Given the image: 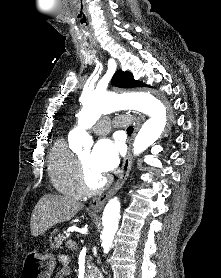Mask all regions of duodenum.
<instances>
[{"instance_id": "410a0bca", "label": "duodenum", "mask_w": 221, "mask_h": 278, "mask_svg": "<svg viewBox=\"0 0 221 278\" xmlns=\"http://www.w3.org/2000/svg\"><path fill=\"white\" fill-rule=\"evenodd\" d=\"M88 278H101V277H100V275H99L97 272L93 271V272L88 276Z\"/></svg>"}]
</instances>
